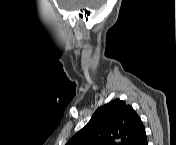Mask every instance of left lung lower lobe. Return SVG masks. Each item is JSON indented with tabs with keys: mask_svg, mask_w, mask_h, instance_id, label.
Segmentation results:
<instances>
[{
	"mask_svg": "<svg viewBox=\"0 0 176 145\" xmlns=\"http://www.w3.org/2000/svg\"><path fill=\"white\" fill-rule=\"evenodd\" d=\"M136 145H148L147 138H146V132L140 137Z\"/></svg>",
	"mask_w": 176,
	"mask_h": 145,
	"instance_id": "1",
	"label": "left lung lower lobe"
}]
</instances>
